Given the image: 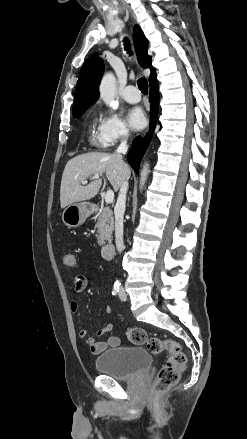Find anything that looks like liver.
<instances>
[{
    "label": "liver",
    "instance_id": "obj_1",
    "mask_svg": "<svg viewBox=\"0 0 247 439\" xmlns=\"http://www.w3.org/2000/svg\"><path fill=\"white\" fill-rule=\"evenodd\" d=\"M106 173V177L115 190L131 175L127 164L121 163L114 154L91 152L70 159L63 171L60 188V205L65 208L76 202L93 198L99 192L102 179H96L88 185H81L88 177Z\"/></svg>",
    "mask_w": 247,
    "mask_h": 439
}]
</instances>
